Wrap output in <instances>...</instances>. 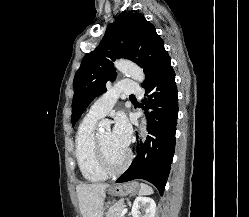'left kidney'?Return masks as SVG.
Segmentation results:
<instances>
[{
  "label": "left kidney",
  "mask_w": 249,
  "mask_h": 217,
  "mask_svg": "<svg viewBox=\"0 0 249 217\" xmlns=\"http://www.w3.org/2000/svg\"><path fill=\"white\" fill-rule=\"evenodd\" d=\"M156 203L150 197L139 196L135 199L131 215L132 217H155Z\"/></svg>",
  "instance_id": "obj_1"
}]
</instances>
